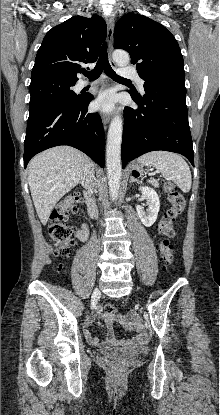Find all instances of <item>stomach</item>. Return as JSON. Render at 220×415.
<instances>
[{
  "label": "stomach",
  "instance_id": "0dacf381",
  "mask_svg": "<svg viewBox=\"0 0 220 415\" xmlns=\"http://www.w3.org/2000/svg\"><path fill=\"white\" fill-rule=\"evenodd\" d=\"M133 169H134L135 171H137V172H142V168H141V166H139L138 164H135V165L133 166Z\"/></svg>",
  "mask_w": 220,
  "mask_h": 415
}]
</instances>
